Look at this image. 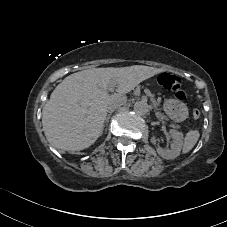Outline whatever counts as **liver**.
Masks as SVG:
<instances>
[{"mask_svg": "<svg viewBox=\"0 0 227 227\" xmlns=\"http://www.w3.org/2000/svg\"><path fill=\"white\" fill-rule=\"evenodd\" d=\"M161 69L134 65L80 71L66 77L50 94L42 109V126L48 143L64 151H81L99 138L107 115L109 85L123 93ZM129 86V90L122 89Z\"/></svg>", "mask_w": 227, "mask_h": 227, "instance_id": "liver-1", "label": "liver"}]
</instances>
